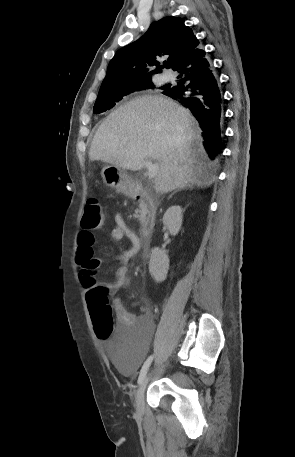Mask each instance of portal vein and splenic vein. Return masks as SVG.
I'll use <instances>...</instances> for the list:
<instances>
[{"label":"portal vein and splenic vein","mask_w":295,"mask_h":457,"mask_svg":"<svg viewBox=\"0 0 295 457\" xmlns=\"http://www.w3.org/2000/svg\"><path fill=\"white\" fill-rule=\"evenodd\" d=\"M144 166L147 169V176L149 179L156 177L160 168L158 163H153L151 160H146L144 161Z\"/></svg>","instance_id":"1"}]
</instances>
